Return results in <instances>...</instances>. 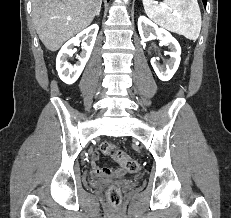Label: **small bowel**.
Returning <instances> with one entry per match:
<instances>
[{"label":"small bowel","mask_w":231,"mask_h":218,"mask_svg":"<svg viewBox=\"0 0 231 218\" xmlns=\"http://www.w3.org/2000/svg\"><path fill=\"white\" fill-rule=\"evenodd\" d=\"M100 154L99 152H94L92 154V170L96 176L99 177H120L124 174V169L117 167V168H107L102 167L99 164Z\"/></svg>","instance_id":"1"}]
</instances>
